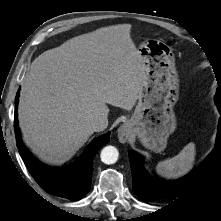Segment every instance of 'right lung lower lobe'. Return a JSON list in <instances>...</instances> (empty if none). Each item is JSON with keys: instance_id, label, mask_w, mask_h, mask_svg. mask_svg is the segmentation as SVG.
Segmentation results:
<instances>
[{"instance_id": "98d812e1", "label": "right lung lower lobe", "mask_w": 221, "mask_h": 221, "mask_svg": "<svg viewBox=\"0 0 221 221\" xmlns=\"http://www.w3.org/2000/svg\"><path fill=\"white\" fill-rule=\"evenodd\" d=\"M20 91L15 98L14 128L19 153L36 182L49 194L70 200H79L90 189L93 173V159L97 151L109 142V133L91 142L81 157L64 168L50 167L41 163L23 144L18 124V101Z\"/></svg>"}]
</instances>
